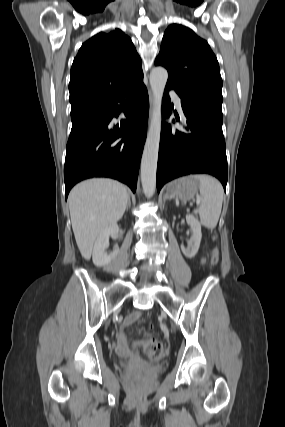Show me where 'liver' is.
<instances>
[{
    "label": "liver",
    "mask_w": 285,
    "mask_h": 427,
    "mask_svg": "<svg viewBox=\"0 0 285 427\" xmlns=\"http://www.w3.org/2000/svg\"><path fill=\"white\" fill-rule=\"evenodd\" d=\"M126 187L95 178L77 184L68 197L72 229L82 257L89 260L96 238L120 220L128 204Z\"/></svg>",
    "instance_id": "obj_1"
}]
</instances>
